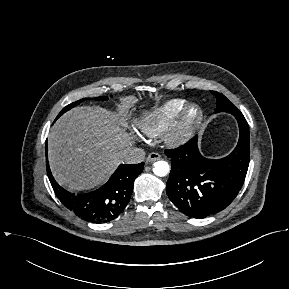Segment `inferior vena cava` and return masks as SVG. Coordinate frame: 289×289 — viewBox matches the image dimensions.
Returning <instances> with one entry per match:
<instances>
[{
	"instance_id": "inferior-vena-cava-1",
	"label": "inferior vena cava",
	"mask_w": 289,
	"mask_h": 289,
	"mask_svg": "<svg viewBox=\"0 0 289 289\" xmlns=\"http://www.w3.org/2000/svg\"><path fill=\"white\" fill-rule=\"evenodd\" d=\"M145 151L141 148H132L124 155V161L130 164H138L144 161Z\"/></svg>"
}]
</instances>
